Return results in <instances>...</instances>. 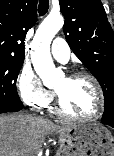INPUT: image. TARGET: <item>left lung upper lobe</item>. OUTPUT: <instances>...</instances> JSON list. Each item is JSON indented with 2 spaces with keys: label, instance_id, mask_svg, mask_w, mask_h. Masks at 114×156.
Returning <instances> with one entry per match:
<instances>
[{
  "label": "left lung upper lobe",
  "instance_id": "obj_1",
  "mask_svg": "<svg viewBox=\"0 0 114 156\" xmlns=\"http://www.w3.org/2000/svg\"><path fill=\"white\" fill-rule=\"evenodd\" d=\"M66 40L100 83L102 121L114 122V32L100 0H59Z\"/></svg>",
  "mask_w": 114,
  "mask_h": 156
}]
</instances>
